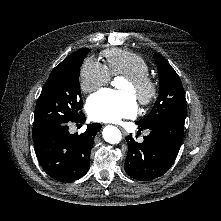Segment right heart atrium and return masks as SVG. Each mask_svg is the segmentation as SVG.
<instances>
[{"mask_svg": "<svg viewBox=\"0 0 221 221\" xmlns=\"http://www.w3.org/2000/svg\"><path fill=\"white\" fill-rule=\"evenodd\" d=\"M106 67L96 59L87 58L79 71V87L82 92L90 93L110 81Z\"/></svg>", "mask_w": 221, "mask_h": 221, "instance_id": "right-heart-atrium-1", "label": "right heart atrium"}]
</instances>
